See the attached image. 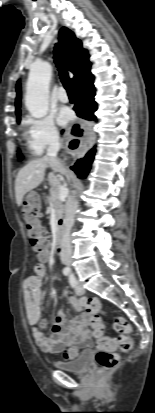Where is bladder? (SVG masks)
<instances>
[{
	"mask_svg": "<svg viewBox=\"0 0 155 413\" xmlns=\"http://www.w3.org/2000/svg\"><path fill=\"white\" fill-rule=\"evenodd\" d=\"M92 352L90 350H85L79 353L76 357L68 361H56L54 367L68 372L73 373H85L88 370L90 357Z\"/></svg>",
	"mask_w": 155,
	"mask_h": 413,
	"instance_id": "bladder-1",
	"label": "bladder"
}]
</instances>
